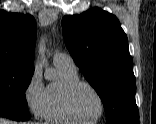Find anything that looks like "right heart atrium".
Here are the masks:
<instances>
[{
	"instance_id": "1",
	"label": "right heart atrium",
	"mask_w": 156,
	"mask_h": 124,
	"mask_svg": "<svg viewBox=\"0 0 156 124\" xmlns=\"http://www.w3.org/2000/svg\"><path fill=\"white\" fill-rule=\"evenodd\" d=\"M24 97L28 108L36 118H46L47 87L37 68L33 70L26 83Z\"/></svg>"
}]
</instances>
